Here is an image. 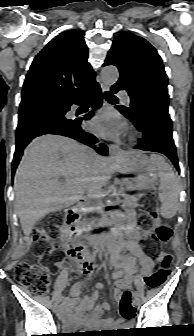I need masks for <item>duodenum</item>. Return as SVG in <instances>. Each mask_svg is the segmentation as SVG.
<instances>
[{
	"label": "duodenum",
	"mask_w": 194,
	"mask_h": 336,
	"mask_svg": "<svg viewBox=\"0 0 194 336\" xmlns=\"http://www.w3.org/2000/svg\"><path fill=\"white\" fill-rule=\"evenodd\" d=\"M86 209L84 202H78L68 209L64 223L65 242L63 249L65 254L76 263L85 262L90 264L91 256L87 251L86 245L79 240V222ZM92 239H95V237H92Z\"/></svg>",
	"instance_id": "1"
}]
</instances>
